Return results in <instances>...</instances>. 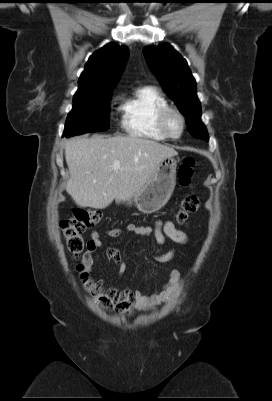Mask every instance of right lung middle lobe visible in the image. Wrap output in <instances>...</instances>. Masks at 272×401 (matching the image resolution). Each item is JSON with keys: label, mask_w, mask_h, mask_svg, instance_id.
<instances>
[{"label": "right lung middle lobe", "mask_w": 272, "mask_h": 401, "mask_svg": "<svg viewBox=\"0 0 272 401\" xmlns=\"http://www.w3.org/2000/svg\"><path fill=\"white\" fill-rule=\"evenodd\" d=\"M112 90L99 91L73 99L63 135L74 136L86 132L104 131L109 128V101Z\"/></svg>", "instance_id": "dd1d6c3e"}]
</instances>
